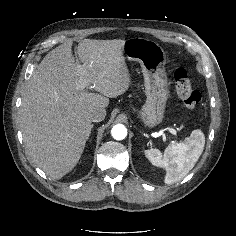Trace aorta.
I'll return each instance as SVG.
<instances>
[{
	"mask_svg": "<svg viewBox=\"0 0 236 236\" xmlns=\"http://www.w3.org/2000/svg\"><path fill=\"white\" fill-rule=\"evenodd\" d=\"M111 134L115 140H123L127 136V129L123 124H117L113 126Z\"/></svg>",
	"mask_w": 236,
	"mask_h": 236,
	"instance_id": "obj_1",
	"label": "aorta"
}]
</instances>
